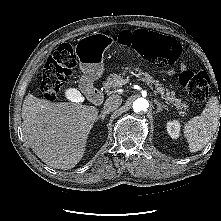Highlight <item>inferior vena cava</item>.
<instances>
[{"label": "inferior vena cava", "mask_w": 221, "mask_h": 221, "mask_svg": "<svg viewBox=\"0 0 221 221\" xmlns=\"http://www.w3.org/2000/svg\"><path fill=\"white\" fill-rule=\"evenodd\" d=\"M122 103V98L118 95L109 97L104 103V112H111L119 108Z\"/></svg>", "instance_id": "602c4592"}]
</instances>
